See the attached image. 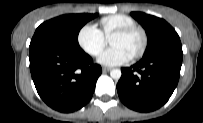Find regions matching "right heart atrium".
I'll return each instance as SVG.
<instances>
[{"mask_svg": "<svg viewBox=\"0 0 203 123\" xmlns=\"http://www.w3.org/2000/svg\"><path fill=\"white\" fill-rule=\"evenodd\" d=\"M77 41L79 46L89 55L98 56L107 45V38L93 24H85L78 32Z\"/></svg>", "mask_w": 203, "mask_h": 123, "instance_id": "obj_1", "label": "right heart atrium"}]
</instances>
